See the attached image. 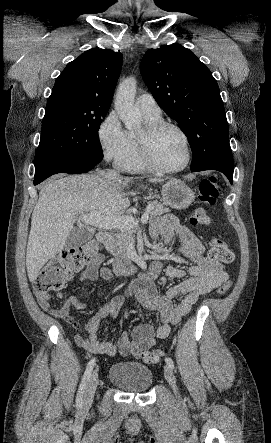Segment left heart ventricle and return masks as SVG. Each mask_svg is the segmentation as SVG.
Listing matches in <instances>:
<instances>
[{
    "label": "left heart ventricle",
    "instance_id": "obj_1",
    "mask_svg": "<svg viewBox=\"0 0 271 443\" xmlns=\"http://www.w3.org/2000/svg\"><path fill=\"white\" fill-rule=\"evenodd\" d=\"M154 154L162 166L178 167L185 162L187 157L185 141L178 131L166 128L155 139Z\"/></svg>",
    "mask_w": 271,
    "mask_h": 443
}]
</instances>
